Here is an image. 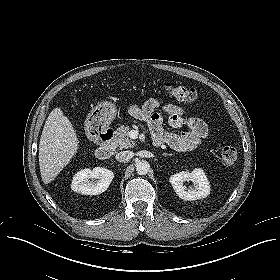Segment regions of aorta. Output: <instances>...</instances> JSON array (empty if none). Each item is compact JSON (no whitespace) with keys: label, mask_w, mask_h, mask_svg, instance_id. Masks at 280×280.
Masks as SVG:
<instances>
[{"label":"aorta","mask_w":280,"mask_h":280,"mask_svg":"<svg viewBox=\"0 0 280 280\" xmlns=\"http://www.w3.org/2000/svg\"><path fill=\"white\" fill-rule=\"evenodd\" d=\"M150 170V164L145 161L141 160L136 163V171L139 175H146Z\"/></svg>","instance_id":"obj_1"}]
</instances>
